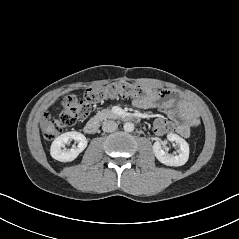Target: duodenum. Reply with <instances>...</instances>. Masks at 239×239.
Returning a JSON list of instances; mask_svg holds the SVG:
<instances>
[{
	"instance_id": "obj_1",
	"label": "duodenum",
	"mask_w": 239,
	"mask_h": 239,
	"mask_svg": "<svg viewBox=\"0 0 239 239\" xmlns=\"http://www.w3.org/2000/svg\"><path fill=\"white\" fill-rule=\"evenodd\" d=\"M124 118L126 120L137 122L140 120V117L136 114H126L124 115ZM99 119L98 118H92L90 119L84 126V132L87 134H94L98 128H99Z\"/></svg>"
}]
</instances>
